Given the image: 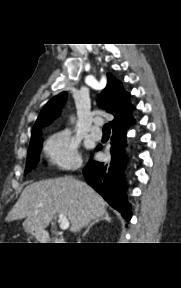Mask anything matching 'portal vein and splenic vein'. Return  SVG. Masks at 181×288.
Here are the masks:
<instances>
[{"mask_svg":"<svg viewBox=\"0 0 181 288\" xmlns=\"http://www.w3.org/2000/svg\"><path fill=\"white\" fill-rule=\"evenodd\" d=\"M58 217H59V221H60V229H61V230H66V229H68L70 223H69L66 215L63 214V213H60V214L58 215Z\"/></svg>","mask_w":181,"mask_h":288,"instance_id":"18ae733b","label":"portal vein and splenic vein"}]
</instances>
